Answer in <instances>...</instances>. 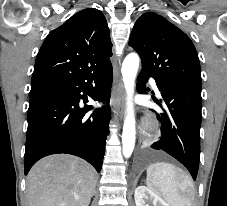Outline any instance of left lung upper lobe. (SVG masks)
Segmentation results:
<instances>
[{"instance_id":"left-lung-upper-lobe-1","label":"left lung upper lobe","mask_w":227,"mask_h":206,"mask_svg":"<svg viewBox=\"0 0 227 206\" xmlns=\"http://www.w3.org/2000/svg\"><path fill=\"white\" fill-rule=\"evenodd\" d=\"M129 45L139 54L142 70L156 77L201 88V70L190 38L156 13L136 21Z\"/></svg>"}]
</instances>
